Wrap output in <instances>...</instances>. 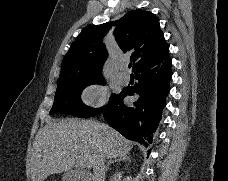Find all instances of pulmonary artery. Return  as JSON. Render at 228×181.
Returning a JSON list of instances; mask_svg holds the SVG:
<instances>
[{"instance_id": "e3ab8cb5", "label": "pulmonary artery", "mask_w": 228, "mask_h": 181, "mask_svg": "<svg viewBox=\"0 0 228 181\" xmlns=\"http://www.w3.org/2000/svg\"><path fill=\"white\" fill-rule=\"evenodd\" d=\"M120 79H121L122 81H126V80H127V77L120 76Z\"/></svg>"}]
</instances>
